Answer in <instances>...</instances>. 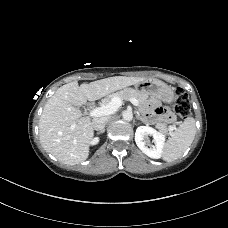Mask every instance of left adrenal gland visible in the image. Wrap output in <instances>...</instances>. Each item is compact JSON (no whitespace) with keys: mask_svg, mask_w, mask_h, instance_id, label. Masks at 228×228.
I'll list each match as a JSON object with an SVG mask.
<instances>
[{"mask_svg":"<svg viewBox=\"0 0 228 228\" xmlns=\"http://www.w3.org/2000/svg\"><path fill=\"white\" fill-rule=\"evenodd\" d=\"M137 119L147 124L146 120L143 117H141L140 114L137 115Z\"/></svg>","mask_w":228,"mask_h":228,"instance_id":"obj_1","label":"left adrenal gland"}]
</instances>
